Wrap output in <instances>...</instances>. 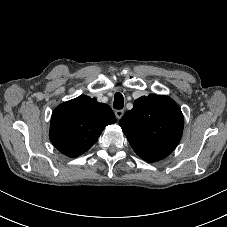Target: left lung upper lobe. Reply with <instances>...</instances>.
Listing matches in <instances>:
<instances>
[{"label": "left lung upper lobe", "mask_w": 227, "mask_h": 227, "mask_svg": "<svg viewBox=\"0 0 227 227\" xmlns=\"http://www.w3.org/2000/svg\"><path fill=\"white\" fill-rule=\"evenodd\" d=\"M119 125L133 150L143 160L155 162L178 145L184 118L172 99L151 94L135 100L133 109L125 112Z\"/></svg>", "instance_id": "1"}]
</instances>
